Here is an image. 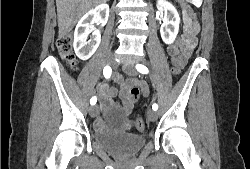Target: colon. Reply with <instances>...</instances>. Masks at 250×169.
<instances>
[{
	"instance_id": "obj_1",
	"label": "colon",
	"mask_w": 250,
	"mask_h": 169,
	"mask_svg": "<svg viewBox=\"0 0 250 169\" xmlns=\"http://www.w3.org/2000/svg\"><path fill=\"white\" fill-rule=\"evenodd\" d=\"M179 5L183 8L184 15H188L189 21H194L195 14H192L194 12V9L192 5L188 3V0H179ZM188 37L190 39V42H195V39L190 34H188ZM71 39H73V34H66V36H61L59 38H56V47L61 59L71 69H73L76 66V57L73 52ZM180 72L181 71L178 66L174 65L173 67H171V74H174L176 76L177 74H180ZM130 94L133 101H139L140 99L139 89L132 90ZM137 114L139 115L140 113L138 112ZM136 118L137 120L135 121V125L139 131L143 132L145 130V124L141 120L142 117L137 116Z\"/></svg>"
}]
</instances>
